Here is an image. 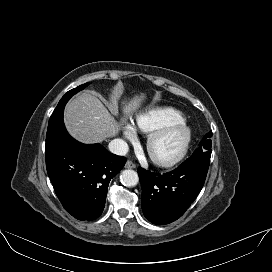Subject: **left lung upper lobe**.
<instances>
[{"mask_svg": "<svg viewBox=\"0 0 272 272\" xmlns=\"http://www.w3.org/2000/svg\"><path fill=\"white\" fill-rule=\"evenodd\" d=\"M211 137H212V132H209L205 136L204 140L200 142L199 147L194 151L192 156L201 155L207 151H211V140H210Z\"/></svg>", "mask_w": 272, "mask_h": 272, "instance_id": "5c2ea615", "label": "left lung upper lobe"}]
</instances>
